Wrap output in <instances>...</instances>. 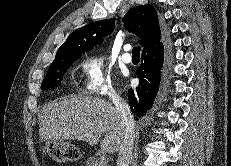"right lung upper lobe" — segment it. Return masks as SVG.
<instances>
[{
	"instance_id": "cb5924a9",
	"label": "right lung upper lobe",
	"mask_w": 231,
	"mask_h": 166,
	"mask_svg": "<svg viewBox=\"0 0 231 166\" xmlns=\"http://www.w3.org/2000/svg\"><path fill=\"white\" fill-rule=\"evenodd\" d=\"M125 29L141 38L142 54L150 53L162 44L165 32L159 24L156 10L150 5H140L128 11L123 18ZM115 27V18L100 20L83 26L72 32L57 51L60 56H81L97 44L103 37L111 34Z\"/></svg>"
}]
</instances>
